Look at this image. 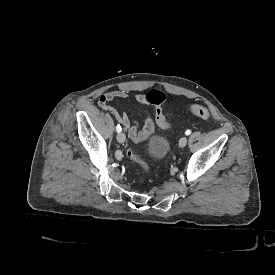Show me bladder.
<instances>
[{"label":"bladder","instance_id":"1","mask_svg":"<svg viewBox=\"0 0 275 275\" xmlns=\"http://www.w3.org/2000/svg\"><path fill=\"white\" fill-rule=\"evenodd\" d=\"M169 150V143L165 137L156 134L148 141V148L145 154L147 160H151L156 164L165 160Z\"/></svg>","mask_w":275,"mask_h":275}]
</instances>
